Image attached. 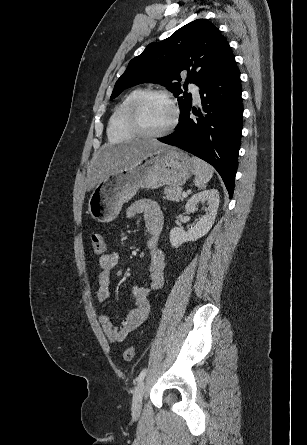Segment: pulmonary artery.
I'll return each mask as SVG.
<instances>
[{
  "label": "pulmonary artery",
  "instance_id": "e3ab8cb5",
  "mask_svg": "<svg viewBox=\"0 0 307 445\" xmlns=\"http://www.w3.org/2000/svg\"><path fill=\"white\" fill-rule=\"evenodd\" d=\"M190 87H191V88H194V87H195V84H194V83H191V84H190ZM193 95H194V99H195L196 101H199L200 97H199V93H198L197 90H195V91L193 92Z\"/></svg>",
  "mask_w": 307,
  "mask_h": 445
}]
</instances>
